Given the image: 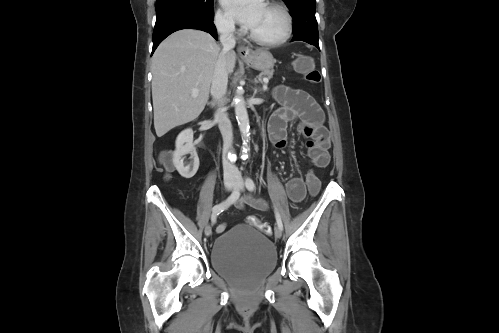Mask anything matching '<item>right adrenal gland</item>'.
I'll use <instances>...</instances> for the list:
<instances>
[{
  "label": "right adrenal gland",
  "mask_w": 499,
  "mask_h": 333,
  "mask_svg": "<svg viewBox=\"0 0 499 333\" xmlns=\"http://www.w3.org/2000/svg\"><path fill=\"white\" fill-rule=\"evenodd\" d=\"M208 105H210V106L213 107L214 106V102H209Z\"/></svg>",
  "instance_id": "1"
}]
</instances>
